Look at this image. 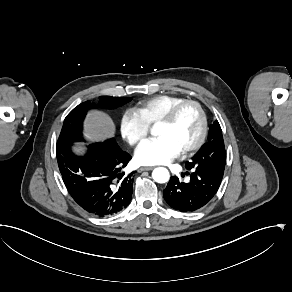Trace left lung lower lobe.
Wrapping results in <instances>:
<instances>
[{"mask_svg": "<svg viewBox=\"0 0 292 292\" xmlns=\"http://www.w3.org/2000/svg\"><path fill=\"white\" fill-rule=\"evenodd\" d=\"M185 167L190 171L186 172V175H190V180L183 182L177 176L171 177L163 190V196L173 209L193 212L204 207L214 197L224 173L204 172L187 164Z\"/></svg>", "mask_w": 292, "mask_h": 292, "instance_id": "1", "label": "left lung lower lobe"}]
</instances>
